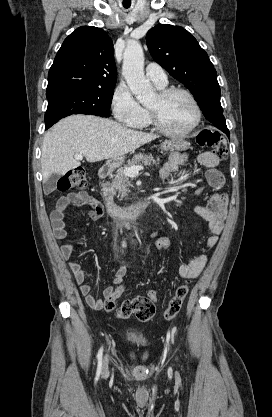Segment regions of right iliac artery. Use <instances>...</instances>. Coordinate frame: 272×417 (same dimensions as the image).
<instances>
[{"instance_id": "82829eb1", "label": "right iliac artery", "mask_w": 272, "mask_h": 417, "mask_svg": "<svg viewBox=\"0 0 272 417\" xmlns=\"http://www.w3.org/2000/svg\"><path fill=\"white\" fill-rule=\"evenodd\" d=\"M102 354H103V348H100L97 354V360H98V369L97 373L99 374L101 371V360H102Z\"/></svg>"}]
</instances>
